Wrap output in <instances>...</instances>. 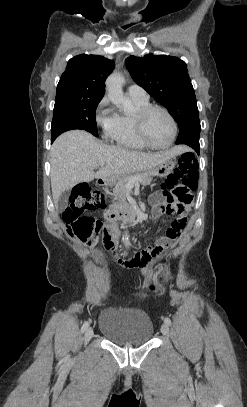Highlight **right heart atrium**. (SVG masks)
Returning a JSON list of instances; mask_svg holds the SVG:
<instances>
[{
	"mask_svg": "<svg viewBox=\"0 0 247 407\" xmlns=\"http://www.w3.org/2000/svg\"><path fill=\"white\" fill-rule=\"evenodd\" d=\"M108 105V98L103 97L99 101L95 112V121L103 129L106 135L114 122V113L108 108Z\"/></svg>",
	"mask_w": 247,
	"mask_h": 407,
	"instance_id": "obj_1",
	"label": "right heart atrium"
}]
</instances>
